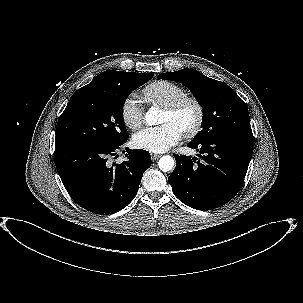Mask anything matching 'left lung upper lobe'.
<instances>
[{"mask_svg": "<svg viewBox=\"0 0 303 303\" xmlns=\"http://www.w3.org/2000/svg\"><path fill=\"white\" fill-rule=\"evenodd\" d=\"M158 79L183 83L203 108V129L191 142L230 135L253 136L245 102L225 83L193 69L162 73Z\"/></svg>", "mask_w": 303, "mask_h": 303, "instance_id": "obj_1", "label": "left lung upper lobe"}]
</instances>
